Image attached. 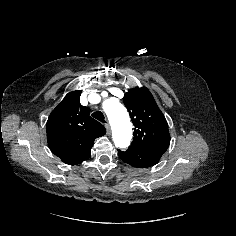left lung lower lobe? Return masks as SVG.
<instances>
[{"label":"left lung lower lobe","mask_w":236,"mask_h":236,"mask_svg":"<svg viewBox=\"0 0 236 236\" xmlns=\"http://www.w3.org/2000/svg\"><path fill=\"white\" fill-rule=\"evenodd\" d=\"M167 149L129 147L126 151L118 150L122 161L138 168H149L157 164Z\"/></svg>","instance_id":"obj_1"}]
</instances>
